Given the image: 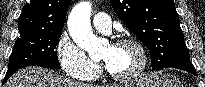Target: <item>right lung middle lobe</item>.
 Masks as SVG:
<instances>
[{"mask_svg":"<svg viewBox=\"0 0 205 87\" xmlns=\"http://www.w3.org/2000/svg\"><path fill=\"white\" fill-rule=\"evenodd\" d=\"M60 36L61 30L20 32L8 68L16 65H37L59 69L60 64L54 49Z\"/></svg>","mask_w":205,"mask_h":87,"instance_id":"right-lung-middle-lobe-1","label":"right lung middle lobe"}]
</instances>
